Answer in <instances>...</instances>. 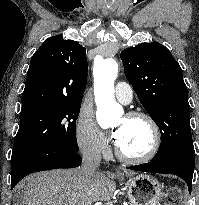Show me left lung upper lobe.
<instances>
[{"instance_id":"obj_1","label":"left lung upper lobe","mask_w":199,"mask_h":205,"mask_svg":"<svg viewBox=\"0 0 199 205\" xmlns=\"http://www.w3.org/2000/svg\"><path fill=\"white\" fill-rule=\"evenodd\" d=\"M124 72L141 104L161 131L153 158L195 157L187 87L178 62L158 42L143 43L121 52Z\"/></svg>"}]
</instances>
